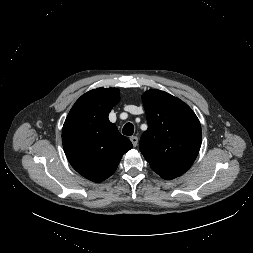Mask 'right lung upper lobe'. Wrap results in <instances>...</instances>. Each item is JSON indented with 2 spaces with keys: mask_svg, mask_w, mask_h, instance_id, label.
I'll list each match as a JSON object with an SVG mask.
<instances>
[{
  "mask_svg": "<svg viewBox=\"0 0 253 253\" xmlns=\"http://www.w3.org/2000/svg\"><path fill=\"white\" fill-rule=\"evenodd\" d=\"M119 100L117 88L91 90L75 102L63 125L62 143L68 161L93 182L110 177L133 147L108 119Z\"/></svg>",
  "mask_w": 253,
  "mask_h": 253,
  "instance_id": "cb5924a9",
  "label": "right lung upper lobe"
}]
</instances>
